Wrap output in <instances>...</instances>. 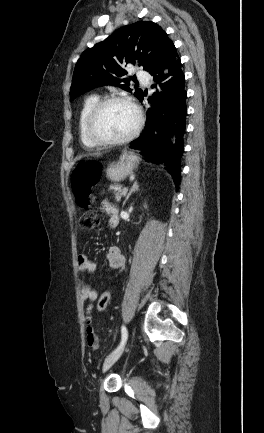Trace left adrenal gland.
Segmentation results:
<instances>
[{
    "label": "left adrenal gland",
    "instance_id": "left-adrenal-gland-1",
    "mask_svg": "<svg viewBox=\"0 0 264 433\" xmlns=\"http://www.w3.org/2000/svg\"><path fill=\"white\" fill-rule=\"evenodd\" d=\"M138 190H139V184H138L137 181H135V182L133 183V185H132V187H131L129 193L127 194V196H126L124 202H123V205H122L123 207H124L126 201H127V200L129 199V197L131 196V194L134 193V192H137Z\"/></svg>",
    "mask_w": 264,
    "mask_h": 433
}]
</instances>
